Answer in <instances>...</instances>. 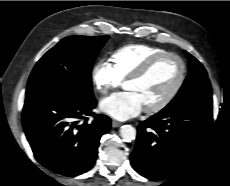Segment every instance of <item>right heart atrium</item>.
<instances>
[{"label":"right heart atrium","mask_w":230,"mask_h":186,"mask_svg":"<svg viewBox=\"0 0 230 186\" xmlns=\"http://www.w3.org/2000/svg\"><path fill=\"white\" fill-rule=\"evenodd\" d=\"M91 78L95 89L102 95L108 94L120 86L121 80L115 73L111 63L99 60L92 68Z\"/></svg>","instance_id":"obj_1"}]
</instances>
